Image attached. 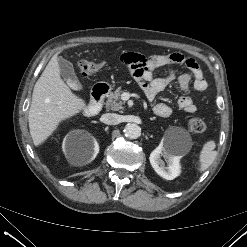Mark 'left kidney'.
<instances>
[{"instance_id": "5707ae66", "label": "left kidney", "mask_w": 247, "mask_h": 247, "mask_svg": "<svg viewBox=\"0 0 247 247\" xmlns=\"http://www.w3.org/2000/svg\"><path fill=\"white\" fill-rule=\"evenodd\" d=\"M164 157L167 162L161 159ZM180 159L173 147L165 145L163 142L150 154L149 160L155 172L166 180H173L180 174Z\"/></svg>"}]
</instances>
